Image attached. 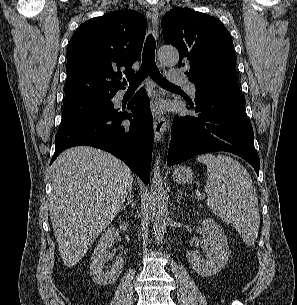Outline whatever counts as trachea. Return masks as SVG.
Here are the masks:
<instances>
[{
	"label": "trachea",
	"instance_id": "3493384b",
	"mask_svg": "<svg viewBox=\"0 0 297 305\" xmlns=\"http://www.w3.org/2000/svg\"><path fill=\"white\" fill-rule=\"evenodd\" d=\"M156 42L152 35H148L144 44L142 54V64L136 74L127 76L129 86H138L142 81L150 76L161 87H177L167 81L161 74L155 63Z\"/></svg>",
	"mask_w": 297,
	"mask_h": 305
}]
</instances>
